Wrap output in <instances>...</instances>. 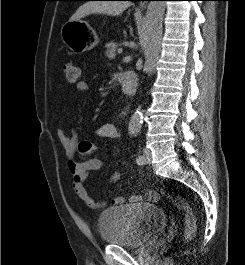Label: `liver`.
I'll return each mask as SVG.
<instances>
[{
    "label": "liver",
    "instance_id": "6515ba94",
    "mask_svg": "<svg viewBox=\"0 0 245 265\" xmlns=\"http://www.w3.org/2000/svg\"><path fill=\"white\" fill-rule=\"evenodd\" d=\"M130 6L127 1H89L80 6L69 21L80 20L90 14L118 16Z\"/></svg>",
    "mask_w": 245,
    "mask_h": 265
}]
</instances>
